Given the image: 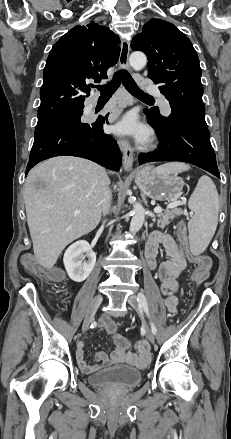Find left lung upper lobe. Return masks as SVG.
<instances>
[{
    "mask_svg": "<svg viewBox=\"0 0 231 439\" xmlns=\"http://www.w3.org/2000/svg\"><path fill=\"white\" fill-rule=\"evenodd\" d=\"M131 48L147 55L148 77L163 84L160 92L171 105L169 116L160 115L157 109L147 110L149 114L161 124L177 117L208 128L199 58L186 35L172 23L153 19L133 38Z\"/></svg>",
    "mask_w": 231,
    "mask_h": 439,
    "instance_id": "1",
    "label": "left lung upper lobe"
}]
</instances>
